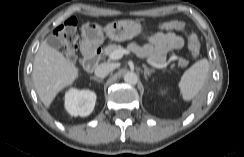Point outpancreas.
<instances>
[{
	"label": "pancreas",
	"instance_id": "1",
	"mask_svg": "<svg viewBox=\"0 0 244 157\" xmlns=\"http://www.w3.org/2000/svg\"><path fill=\"white\" fill-rule=\"evenodd\" d=\"M124 48L121 45H117V44H109L105 49H104V54L110 56L111 53H113L116 50H123ZM146 57L157 63V64H164L166 63V55L164 54H159V53H155V52H150L146 55ZM179 65L180 66H187L188 65V61L183 59V58H179Z\"/></svg>",
	"mask_w": 244,
	"mask_h": 157
}]
</instances>
